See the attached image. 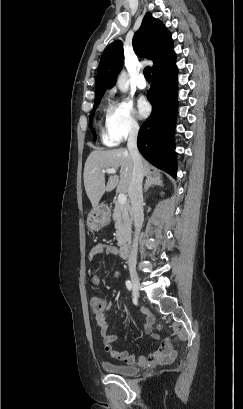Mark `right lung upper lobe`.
Returning <instances> with one entry per match:
<instances>
[{"label": "right lung upper lobe", "mask_w": 243, "mask_h": 409, "mask_svg": "<svg viewBox=\"0 0 243 409\" xmlns=\"http://www.w3.org/2000/svg\"><path fill=\"white\" fill-rule=\"evenodd\" d=\"M133 49L140 57H146L154 62V68L173 51L172 38L165 25L146 13L139 30L133 37ZM124 51L121 41L109 44L104 50L95 78V99L102 98L106 89L116 83L117 75L122 69Z\"/></svg>", "instance_id": "1"}]
</instances>
